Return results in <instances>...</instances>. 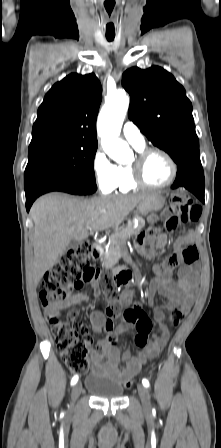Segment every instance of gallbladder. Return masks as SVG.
Listing matches in <instances>:
<instances>
[{
  "label": "gallbladder",
  "instance_id": "obj_1",
  "mask_svg": "<svg viewBox=\"0 0 221 448\" xmlns=\"http://www.w3.org/2000/svg\"><path fill=\"white\" fill-rule=\"evenodd\" d=\"M76 242L75 241H71L70 244L68 245L67 249L73 248L75 246Z\"/></svg>",
  "mask_w": 221,
  "mask_h": 448
}]
</instances>
